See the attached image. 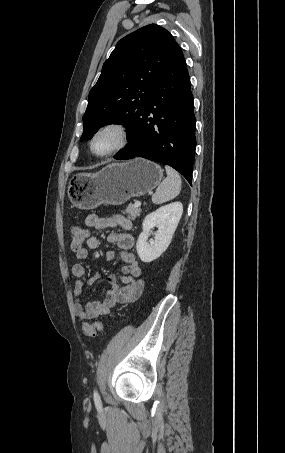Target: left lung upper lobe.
Instances as JSON below:
<instances>
[{"label": "left lung upper lobe", "instance_id": "obj_1", "mask_svg": "<svg viewBox=\"0 0 285 453\" xmlns=\"http://www.w3.org/2000/svg\"><path fill=\"white\" fill-rule=\"evenodd\" d=\"M178 48L173 36L156 24L122 38L89 93L81 141L113 123L126 126L128 138Z\"/></svg>", "mask_w": 285, "mask_h": 453}]
</instances>
